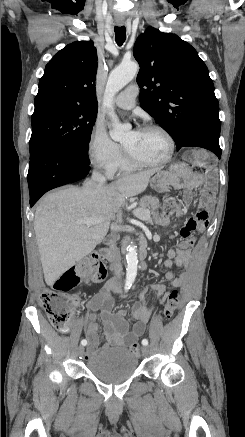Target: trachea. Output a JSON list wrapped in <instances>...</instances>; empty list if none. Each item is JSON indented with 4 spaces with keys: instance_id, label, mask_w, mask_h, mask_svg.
I'll list each match as a JSON object with an SVG mask.
<instances>
[{
    "instance_id": "3493384b",
    "label": "trachea",
    "mask_w": 245,
    "mask_h": 437,
    "mask_svg": "<svg viewBox=\"0 0 245 437\" xmlns=\"http://www.w3.org/2000/svg\"><path fill=\"white\" fill-rule=\"evenodd\" d=\"M115 31V41L119 46H122L126 40V29L124 26L114 28Z\"/></svg>"
}]
</instances>
